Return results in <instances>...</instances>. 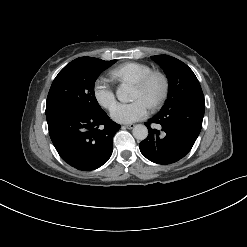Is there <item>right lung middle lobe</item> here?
<instances>
[{
	"label": "right lung middle lobe",
	"instance_id": "1",
	"mask_svg": "<svg viewBox=\"0 0 247 247\" xmlns=\"http://www.w3.org/2000/svg\"><path fill=\"white\" fill-rule=\"evenodd\" d=\"M116 61L81 57L67 64L49 90L46 117L69 109L91 114L101 111L95 98L94 84L100 73Z\"/></svg>",
	"mask_w": 247,
	"mask_h": 247
}]
</instances>
